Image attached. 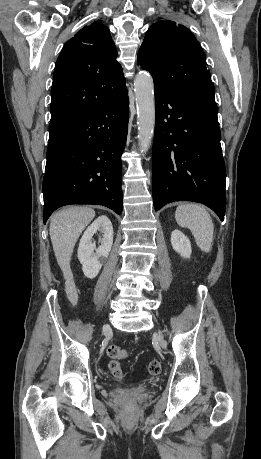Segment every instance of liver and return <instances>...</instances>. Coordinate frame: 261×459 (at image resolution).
I'll use <instances>...</instances> for the list:
<instances>
[{
  "mask_svg": "<svg viewBox=\"0 0 261 459\" xmlns=\"http://www.w3.org/2000/svg\"><path fill=\"white\" fill-rule=\"evenodd\" d=\"M94 217L92 208L73 206L56 212L51 218L49 231L53 250L67 280L72 278L70 260L74 246Z\"/></svg>",
  "mask_w": 261,
  "mask_h": 459,
  "instance_id": "1",
  "label": "liver"
}]
</instances>
